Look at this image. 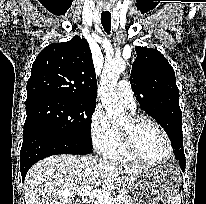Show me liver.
Instances as JSON below:
<instances>
[{"mask_svg":"<svg viewBox=\"0 0 206 204\" xmlns=\"http://www.w3.org/2000/svg\"><path fill=\"white\" fill-rule=\"evenodd\" d=\"M145 167L104 160L93 156L55 155L36 163L24 183L26 204H78L72 192L102 182V191L131 184ZM101 184V183H100Z\"/></svg>","mask_w":206,"mask_h":204,"instance_id":"liver-1","label":"liver"}]
</instances>
